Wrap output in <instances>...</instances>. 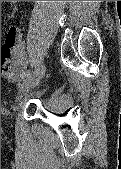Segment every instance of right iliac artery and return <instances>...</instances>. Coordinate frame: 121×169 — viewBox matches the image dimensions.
<instances>
[{
    "mask_svg": "<svg viewBox=\"0 0 121 169\" xmlns=\"http://www.w3.org/2000/svg\"><path fill=\"white\" fill-rule=\"evenodd\" d=\"M32 75H33V73L28 70V71L24 72V74H23V76H22V79H23V80H26L27 78H29V77L32 76Z\"/></svg>",
    "mask_w": 121,
    "mask_h": 169,
    "instance_id": "1",
    "label": "right iliac artery"
}]
</instances>
